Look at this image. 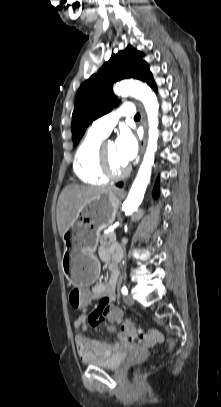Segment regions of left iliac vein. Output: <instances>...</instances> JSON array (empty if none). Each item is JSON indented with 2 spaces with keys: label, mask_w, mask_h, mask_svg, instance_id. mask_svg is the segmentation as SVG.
Wrapping results in <instances>:
<instances>
[{
  "label": "left iliac vein",
  "mask_w": 221,
  "mask_h": 407,
  "mask_svg": "<svg viewBox=\"0 0 221 407\" xmlns=\"http://www.w3.org/2000/svg\"><path fill=\"white\" fill-rule=\"evenodd\" d=\"M123 302H124V304L127 305V306H131V305L134 304V300H133V298H132L131 295H126V296L123 298Z\"/></svg>",
  "instance_id": "obj_1"
}]
</instances>
